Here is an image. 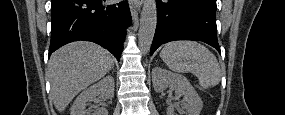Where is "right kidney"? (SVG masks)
Returning <instances> with one entry per match:
<instances>
[{
  "label": "right kidney",
  "instance_id": "1",
  "mask_svg": "<svg viewBox=\"0 0 285 115\" xmlns=\"http://www.w3.org/2000/svg\"><path fill=\"white\" fill-rule=\"evenodd\" d=\"M100 94L103 99L114 97V78L112 76H106L97 84L84 90L74 101L71 107V115H90L86 110L87 102L93 101ZM93 115H108V111L104 107L97 108Z\"/></svg>",
  "mask_w": 285,
  "mask_h": 115
}]
</instances>
